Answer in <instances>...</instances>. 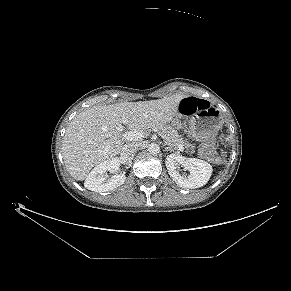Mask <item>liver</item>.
I'll return each instance as SVG.
<instances>
[{
  "mask_svg": "<svg viewBox=\"0 0 291 291\" xmlns=\"http://www.w3.org/2000/svg\"><path fill=\"white\" fill-rule=\"evenodd\" d=\"M184 95L175 94L158 100L121 102L94 106L76 115L66 129L62 156L71 177L83 181L90 170L110 160L122 150L126 140L118 126L125 124L131 131H147L171 122L177 115Z\"/></svg>",
  "mask_w": 291,
  "mask_h": 291,
  "instance_id": "liver-1",
  "label": "liver"
}]
</instances>
